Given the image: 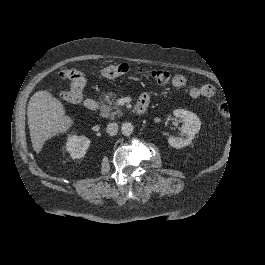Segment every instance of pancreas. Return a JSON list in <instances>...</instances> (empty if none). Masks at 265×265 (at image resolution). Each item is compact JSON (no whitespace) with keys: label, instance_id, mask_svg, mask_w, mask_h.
I'll return each instance as SVG.
<instances>
[{"label":"pancreas","instance_id":"cf45deb5","mask_svg":"<svg viewBox=\"0 0 265 265\" xmlns=\"http://www.w3.org/2000/svg\"><path fill=\"white\" fill-rule=\"evenodd\" d=\"M116 94L109 92L103 100L100 101L101 113L100 115L105 118L114 119L116 116L123 115L119 105L115 101Z\"/></svg>","mask_w":265,"mask_h":265}]
</instances>
